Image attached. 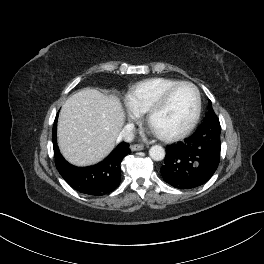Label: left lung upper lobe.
Instances as JSON below:
<instances>
[{
  "label": "left lung upper lobe",
  "mask_w": 264,
  "mask_h": 264,
  "mask_svg": "<svg viewBox=\"0 0 264 264\" xmlns=\"http://www.w3.org/2000/svg\"><path fill=\"white\" fill-rule=\"evenodd\" d=\"M205 122H210L212 124H217L220 126L219 119H218L217 115L215 114L210 101L208 104V112L205 115V121L203 123H205Z\"/></svg>",
  "instance_id": "left-lung-upper-lobe-1"
}]
</instances>
